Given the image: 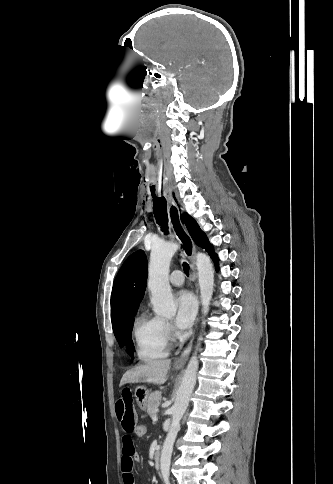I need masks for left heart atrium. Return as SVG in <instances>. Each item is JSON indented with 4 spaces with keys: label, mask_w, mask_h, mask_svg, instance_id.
I'll use <instances>...</instances> for the list:
<instances>
[{
    "label": "left heart atrium",
    "mask_w": 333,
    "mask_h": 484,
    "mask_svg": "<svg viewBox=\"0 0 333 484\" xmlns=\"http://www.w3.org/2000/svg\"><path fill=\"white\" fill-rule=\"evenodd\" d=\"M176 317L175 322L180 330H185L192 324L197 310V303L194 296L187 291H180L176 294Z\"/></svg>",
    "instance_id": "39dd6f15"
}]
</instances>
